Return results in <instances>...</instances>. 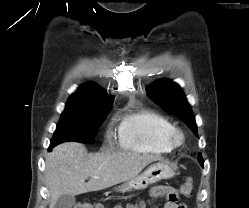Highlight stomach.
I'll return each mask as SVG.
<instances>
[{
  "label": "stomach",
  "mask_w": 249,
  "mask_h": 208,
  "mask_svg": "<svg viewBox=\"0 0 249 208\" xmlns=\"http://www.w3.org/2000/svg\"><path fill=\"white\" fill-rule=\"evenodd\" d=\"M175 175L174 170L165 162L150 165L144 172L130 179L117 190L119 192H133L146 189L162 179H169Z\"/></svg>",
  "instance_id": "1"
}]
</instances>
